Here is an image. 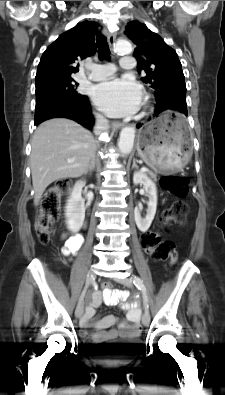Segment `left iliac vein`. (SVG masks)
Here are the masks:
<instances>
[{"label": "left iliac vein", "instance_id": "1", "mask_svg": "<svg viewBox=\"0 0 225 395\" xmlns=\"http://www.w3.org/2000/svg\"><path fill=\"white\" fill-rule=\"evenodd\" d=\"M117 282L127 287L132 286V281L129 278L117 279ZM149 322H150V314L148 310L145 309L142 316V323L143 325L148 326Z\"/></svg>", "mask_w": 225, "mask_h": 395}]
</instances>
